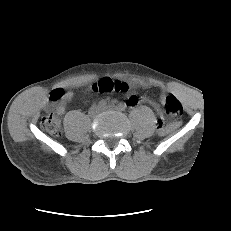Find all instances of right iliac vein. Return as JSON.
<instances>
[{
  "mask_svg": "<svg viewBox=\"0 0 231 231\" xmlns=\"http://www.w3.org/2000/svg\"><path fill=\"white\" fill-rule=\"evenodd\" d=\"M99 112H100V107L96 106V107H93V108L91 109L90 114H91L92 116H95V115H97Z\"/></svg>",
  "mask_w": 231,
  "mask_h": 231,
  "instance_id": "obj_1",
  "label": "right iliac vein"
}]
</instances>
